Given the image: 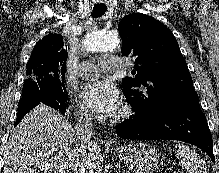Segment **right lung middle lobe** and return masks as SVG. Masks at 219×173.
Segmentation results:
<instances>
[{
  "mask_svg": "<svg viewBox=\"0 0 219 173\" xmlns=\"http://www.w3.org/2000/svg\"><path fill=\"white\" fill-rule=\"evenodd\" d=\"M26 79L22 94L44 91L54 95L59 101L66 102L68 93L64 84L65 69L59 65L27 62Z\"/></svg>",
  "mask_w": 219,
  "mask_h": 173,
  "instance_id": "dd1d6c3e",
  "label": "right lung middle lobe"
}]
</instances>
